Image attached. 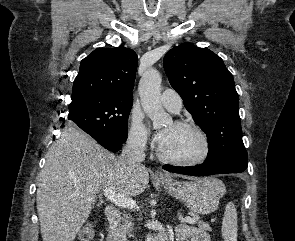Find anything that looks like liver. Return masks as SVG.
Instances as JSON below:
<instances>
[{
    "instance_id": "liver-1",
    "label": "liver",
    "mask_w": 295,
    "mask_h": 241,
    "mask_svg": "<svg viewBox=\"0 0 295 241\" xmlns=\"http://www.w3.org/2000/svg\"><path fill=\"white\" fill-rule=\"evenodd\" d=\"M148 183L145 166L129 167L84 132L65 129L49 148L38 177L36 201L43 241H73L100 190L113 188L117 194L132 197Z\"/></svg>"
}]
</instances>
